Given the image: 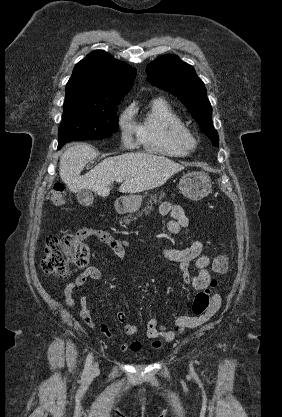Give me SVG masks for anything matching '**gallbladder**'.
<instances>
[{
  "label": "gallbladder",
  "mask_w": 282,
  "mask_h": 417,
  "mask_svg": "<svg viewBox=\"0 0 282 417\" xmlns=\"http://www.w3.org/2000/svg\"><path fill=\"white\" fill-rule=\"evenodd\" d=\"M77 198L78 202H81V204H90L93 200V194L89 188H81V190H78L77 192Z\"/></svg>",
  "instance_id": "1"
}]
</instances>
